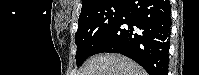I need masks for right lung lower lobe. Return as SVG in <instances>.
Segmentation results:
<instances>
[{
	"label": "right lung lower lobe",
	"mask_w": 199,
	"mask_h": 75,
	"mask_svg": "<svg viewBox=\"0 0 199 75\" xmlns=\"http://www.w3.org/2000/svg\"><path fill=\"white\" fill-rule=\"evenodd\" d=\"M169 0H127L124 10L94 54L120 53L149 75H168L171 28Z\"/></svg>",
	"instance_id": "obj_1"
}]
</instances>
